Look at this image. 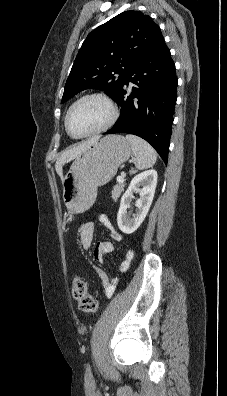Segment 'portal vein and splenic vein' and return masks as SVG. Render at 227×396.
Wrapping results in <instances>:
<instances>
[{
  "label": "portal vein and splenic vein",
  "mask_w": 227,
  "mask_h": 396,
  "mask_svg": "<svg viewBox=\"0 0 227 396\" xmlns=\"http://www.w3.org/2000/svg\"><path fill=\"white\" fill-rule=\"evenodd\" d=\"M124 173L122 172L120 176L117 177V182L121 183L124 181Z\"/></svg>",
  "instance_id": "1"
}]
</instances>
